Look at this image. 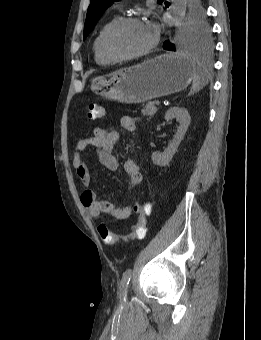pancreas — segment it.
Wrapping results in <instances>:
<instances>
[{
	"label": "pancreas",
	"instance_id": "obj_1",
	"mask_svg": "<svg viewBox=\"0 0 261 340\" xmlns=\"http://www.w3.org/2000/svg\"><path fill=\"white\" fill-rule=\"evenodd\" d=\"M157 110V107H155V101H151L145 105L141 112L144 116L152 117L157 112Z\"/></svg>",
	"mask_w": 261,
	"mask_h": 340
}]
</instances>
